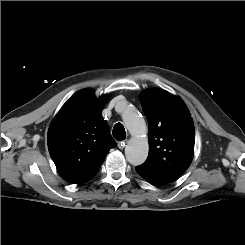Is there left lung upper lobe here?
<instances>
[{
    "label": "left lung upper lobe",
    "instance_id": "1",
    "mask_svg": "<svg viewBox=\"0 0 245 245\" xmlns=\"http://www.w3.org/2000/svg\"><path fill=\"white\" fill-rule=\"evenodd\" d=\"M140 102L149 124V155L137 167L176 180L188 169L194 154L191 114L181 98L161 89L143 91Z\"/></svg>",
    "mask_w": 245,
    "mask_h": 245
}]
</instances>
